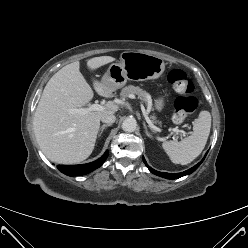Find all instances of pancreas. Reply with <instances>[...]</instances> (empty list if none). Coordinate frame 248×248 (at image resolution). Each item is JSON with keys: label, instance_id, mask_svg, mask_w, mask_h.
I'll use <instances>...</instances> for the list:
<instances>
[{"label": "pancreas", "instance_id": "obj_1", "mask_svg": "<svg viewBox=\"0 0 248 248\" xmlns=\"http://www.w3.org/2000/svg\"><path fill=\"white\" fill-rule=\"evenodd\" d=\"M130 94H136L139 96L141 100L152 104V99H151L150 94L138 86H133V85L126 86L125 88L122 89L120 95H121L122 100H125V98H127ZM151 119L153 122H156L155 116H151Z\"/></svg>", "mask_w": 248, "mask_h": 248}]
</instances>
